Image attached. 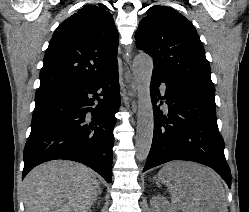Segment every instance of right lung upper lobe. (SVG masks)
I'll list each match as a JSON object with an SVG mask.
<instances>
[{
  "label": "right lung upper lobe",
  "mask_w": 249,
  "mask_h": 212,
  "mask_svg": "<svg viewBox=\"0 0 249 212\" xmlns=\"http://www.w3.org/2000/svg\"><path fill=\"white\" fill-rule=\"evenodd\" d=\"M118 32L102 4L86 5L55 30L36 95L98 80L118 67Z\"/></svg>",
  "instance_id": "cb5924a9"
}]
</instances>
